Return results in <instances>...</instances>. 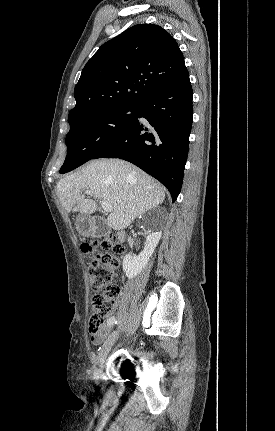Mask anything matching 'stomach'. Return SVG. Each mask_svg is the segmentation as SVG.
<instances>
[{"instance_id": "1", "label": "stomach", "mask_w": 275, "mask_h": 431, "mask_svg": "<svg viewBox=\"0 0 275 431\" xmlns=\"http://www.w3.org/2000/svg\"><path fill=\"white\" fill-rule=\"evenodd\" d=\"M76 229L82 236L94 235V226L86 216L80 215L76 218Z\"/></svg>"}]
</instances>
